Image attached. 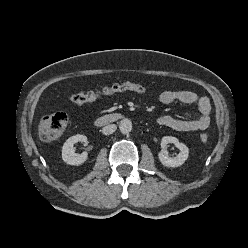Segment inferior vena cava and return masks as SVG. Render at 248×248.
<instances>
[{
    "instance_id": "inferior-vena-cava-1",
    "label": "inferior vena cava",
    "mask_w": 248,
    "mask_h": 248,
    "mask_svg": "<svg viewBox=\"0 0 248 248\" xmlns=\"http://www.w3.org/2000/svg\"><path fill=\"white\" fill-rule=\"evenodd\" d=\"M116 129H117V126L115 124H110V125H107V126L103 127L102 133L104 135H110L113 132H115Z\"/></svg>"
}]
</instances>
